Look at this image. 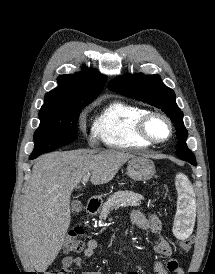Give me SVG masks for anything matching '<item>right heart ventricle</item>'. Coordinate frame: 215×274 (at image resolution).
<instances>
[{
    "label": "right heart ventricle",
    "instance_id": "obj_1",
    "mask_svg": "<svg viewBox=\"0 0 215 274\" xmlns=\"http://www.w3.org/2000/svg\"><path fill=\"white\" fill-rule=\"evenodd\" d=\"M148 112L145 108L124 101H113L96 117L92 135L110 148L128 149L147 147L137 131L141 117Z\"/></svg>",
    "mask_w": 215,
    "mask_h": 274
}]
</instances>
